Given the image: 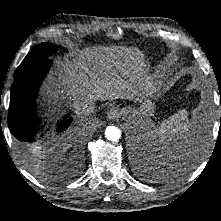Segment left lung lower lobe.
Returning a JSON list of instances; mask_svg holds the SVG:
<instances>
[{"label":"left lung lower lobe","mask_w":221,"mask_h":221,"mask_svg":"<svg viewBox=\"0 0 221 221\" xmlns=\"http://www.w3.org/2000/svg\"><path fill=\"white\" fill-rule=\"evenodd\" d=\"M192 148L193 146L191 143H181L176 148L172 149L170 153H166L167 158L165 160L172 165L171 167L162 166L159 162H156V159L162 160V158H156L155 154H150L152 169H156L159 175H162L167 171L172 172L173 175L177 174L179 168H181V166H184L189 161ZM148 177L149 176H145V178Z\"/></svg>","instance_id":"0a47b994"}]
</instances>
